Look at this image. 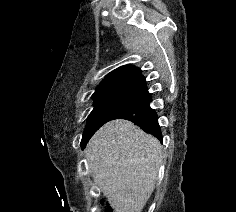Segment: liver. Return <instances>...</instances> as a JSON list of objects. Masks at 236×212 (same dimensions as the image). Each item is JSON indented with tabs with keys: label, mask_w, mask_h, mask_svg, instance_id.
Wrapping results in <instances>:
<instances>
[{
	"label": "liver",
	"mask_w": 236,
	"mask_h": 212,
	"mask_svg": "<svg viewBox=\"0 0 236 212\" xmlns=\"http://www.w3.org/2000/svg\"><path fill=\"white\" fill-rule=\"evenodd\" d=\"M86 167L114 212H141L156 184L162 147L127 120L110 121L89 141Z\"/></svg>",
	"instance_id": "6515ba94"
}]
</instances>
